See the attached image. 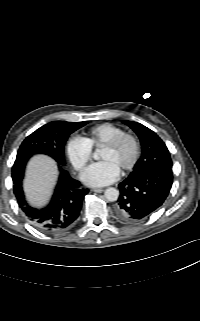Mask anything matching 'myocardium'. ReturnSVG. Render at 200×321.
I'll return each mask as SVG.
<instances>
[{
	"label": "myocardium",
	"mask_w": 200,
	"mask_h": 321,
	"mask_svg": "<svg viewBox=\"0 0 200 321\" xmlns=\"http://www.w3.org/2000/svg\"><path fill=\"white\" fill-rule=\"evenodd\" d=\"M130 140L133 144V155H132V158L130 160V162L125 165L123 168H122V172L123 173H126L130 170H132L138 159H139V156H140V142L138 140V138L132 134V133H129V132H123L121 134H118L117 136L113 137L112 139H110L109 141H107L106 143H104L102 145V148H107V149H114L116 148L122 141L124 140Z\"/></svg>",
	"instance_id": "myocardium-1"
}]
</instances>
